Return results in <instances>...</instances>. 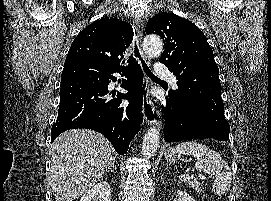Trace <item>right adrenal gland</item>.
I'll return each mask as SVG.
<instances>
[{
	"instance_id": "obj_1",
	"label": "right adrenal gland",
	"mask_w": 271,
	"mask_h": 201,
	"mask_svg": "<svg viewBox=\"0 0 271 201\" xmlns=\"http://www.w3.org/2000/svg\"><path fill=\"white\" fill-rule=\"evenodd\" d=\"M114 163L115 161H113V163L111 164L110 168L108 169V172H114Z\"/></svg>"
}]
</instances>
